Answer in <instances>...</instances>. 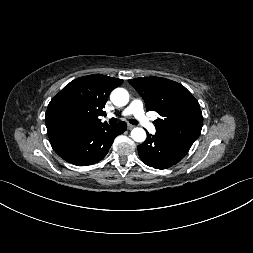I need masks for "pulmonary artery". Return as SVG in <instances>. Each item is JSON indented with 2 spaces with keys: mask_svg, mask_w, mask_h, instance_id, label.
I'll return each mask as SVG.
<instances>
[{
  "mask_svg": "<svg viewBox=\"0 0 253 253\" xmlns=\"http://www.w3.org/2000/svg\"><path fill=\"white\" fill-rule=\"evenodd\" d=\"M123 116L133 115L138 122L148 131L154 133L155 126L151 119L144 112L143 102L139 99H134L127 108L122 111ZM112 115H109L111 117Z\"/></svg>",
  "mask_w": 253,
  "mask_h": 253,
  "instance_id": "1",
  "label": "pulmonary artery"
}]
</instances>
